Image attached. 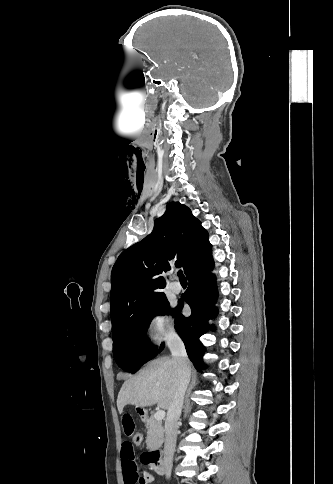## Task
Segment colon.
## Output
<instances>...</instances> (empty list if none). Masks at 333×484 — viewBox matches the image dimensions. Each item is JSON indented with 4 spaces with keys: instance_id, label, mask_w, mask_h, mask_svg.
Wrapping results in <instances>:
<instances>
[{
    "instance_id": "5ec220e1",
    "label": "colon",
    "mask_w": 333,
    "mask_h": 484,
    "mask_svg": "<svg viewBox=\"0 0 333 484\" xmlns=\"http://www.w3.org/2000/svg\"><path fill=\"white\" fill-rule=\"evenodd\" d=\"M143 441V436L141 433H135L134 436H133V442L134 444L136 445H140Z\"/></svg>"
}]
</instances>
